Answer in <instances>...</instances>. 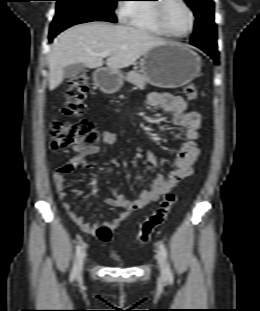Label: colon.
<instances>
[{"label": "colon", "instance_id": "colon-1", "mask_svg": "<svg viewBox=\"0 0 260 311\" xmlns=\"http://www.w3.org/2000/svg\"><path fill=\"white\" fill-rule=\"evenodd\" d=\"M88 90V77L86 74H79L70 79L65 92V102L61 113L65 117H78L85 112L84 97ZM185 95L189 100H195L198 89L194 84L185 87ZM50 147L53 151H61L68 148L87 149L97 145L99 133L94 124L87 119L78 121L55 120L50 124ZM178 201L176 193H167L157 209L147 217L140 225L136 237L138 245L146 244L153 231L161 226L169 217L172 208ZM95 235L103 242H109L112 237V230L106 225H100Z\"/></svg>", "mask_w": 260, "mask_h": 311}]
</instances>
